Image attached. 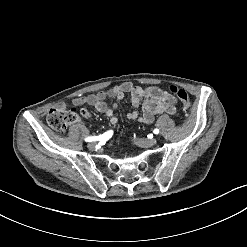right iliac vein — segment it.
Instances as JSON below:
<instances>
[{"label": "right iliac vein", "mask_w": 247, "mask_h": 247, "mask_svg": "<svg viewBox=\"0 0 247 247\" xmlns=\"http://www.w3.org/2000/svg\"><path fill=\"white\" fill-rule=\"evenodd\" d=\"M95 147H96V144H95L94 142H91V143L88 144V148H89L90 150H94Z\"/></svg>", "instance_id": "63e3f726"}]
</instances>
